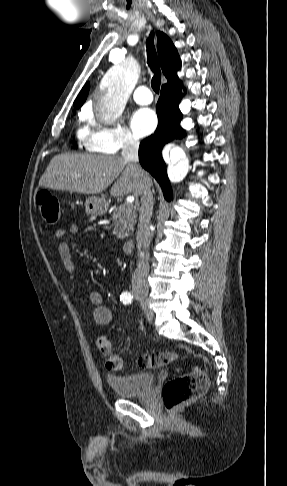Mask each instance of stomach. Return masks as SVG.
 <instances>
[{
	"mask_svg": "<svg viewBox=\"0 0 287 486\" xmlns=\"http://www.w3.org/2000/svg\"><path fill=\"white\" fill-rule=\"evenodd\" d=\"M85 210L91 215L103 214L106 210V203L102 198L90 196L86 198Z\"/></svg>",
	"mask_w": 287,
	"mask_h": 486,
	"instance_id": "obj_1",
	"label": "stomach"
}]
</instances>
